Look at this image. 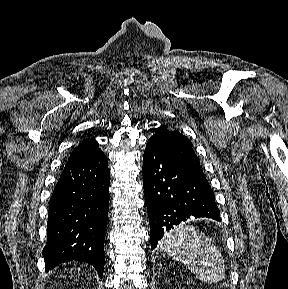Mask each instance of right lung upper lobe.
Masks as SVG:
<instances>
[{"instance_id": "right-lung-upper-lobe-1", "label": "right lung upper lobe", "mask_w": 288, "mask_h": 289, "mask_svg": "<svg viewBox=\"0 0 288 289\" xmlns=\"http://www.w3.org/2000/svg\"><path fill=\"white\" fill-rule=\"evenodd\" d=\"M101 152L95 140L87 139L79 144L71 153L68 162L76 161Z\"/></svg>"}]
</instances>
